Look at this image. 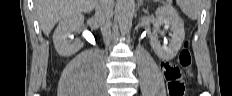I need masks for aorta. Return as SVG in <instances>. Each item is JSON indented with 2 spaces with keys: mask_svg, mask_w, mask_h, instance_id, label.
Segmentation results:
<instances>
[{
  "mask_svg": "<svg viewBox=\"0 0 232 96\" xmlns=\"http://www.w3.org/2000/svg\"><path fill=\"white\" fill-rule=\"evenodd\" d=\"M134 13L133 0H120L118 6V22L122 33L128 31L132 25V18Z\"/></svg>",
  "mask_w": 232,
  "mask_h": 96,
  "instance_id": "1",
  "label": "aorta"
}]
</instances>
